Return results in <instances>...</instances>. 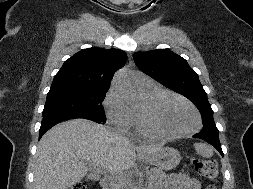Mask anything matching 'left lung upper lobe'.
Here are the masks:
<instances>
[{
    "mask_svg": "<svg viewBox=\"0 0 253 189\" xmlns=\"http://www.w3.org/2000/svg\"><path fill=\"white\" fill-rule=\"evenodd\" d=\"M136 65L165 87L187 97L200 111L204 122L201 132L219 133L213 119V110L198 75L181 56L169 49L136 52Z\"/></svg>",
    "mask_w": 253,
    "mask_h": 189,
    "instance_id": "1",
    "label": "left lung upper lobe"
}]
</instances>
